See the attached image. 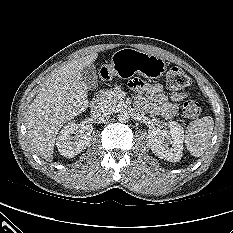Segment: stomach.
I'll use <instances>...</instances> for the list:
<instances>
[{"label": "stomach", "instance_id": "obj_1", "mask_svg": "<svg viewBox=\"0 0 233 233\" xmlns=\"http://www.w3.org/2000/svg\"><path fill=\"white\" fill-rule=\"evenodd\" d=\"M105 68L111 75L130 77L137 73L148 79H156L165 73L166 63L158 56L123 48L112 55L111 64Z\"/></svg>", "mask_w": 233, "mask_h": 233}]
</instances>
